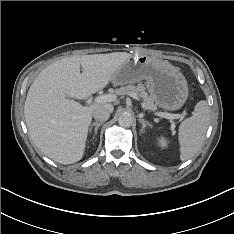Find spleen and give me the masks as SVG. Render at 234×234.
Returning <instances> with one entry per match:
<instances>
[{
  "label": "spleen",
  "mask_w": 234,
  "mask_h": 234,
  "mask_svg": "<svg viewBox=\"0 0 234 234\" xmlns=\"http://www.w3.org/2000/svg\"><path fill=\"white\" fill-rule=\"evenodd\" d=\"M209 124L210 109L207 102L201 100L196 104L193 115L179 126L178 140L182 161L191 159L199 151Z\"/></svg>",
  "instance_id": "obj_1"
}]
</instances>
